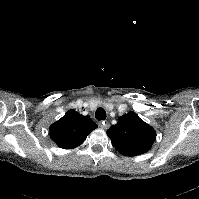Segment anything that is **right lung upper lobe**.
Wrapping results in <instances>:
<instances>
[{
    "label": "right lung upper lobe",
    "instance_id": "obj_1",
    "mask_svg": "<svg viewBox=\"0 0 199 199\" xmlns=\"http://www.w3.org/2000/svg\"><path fill=\"white\" fill-rule=\"evenodd\" d=\"M97 124L89 116H83L74 110L50 126V137L60 148L71 149L79 146Z\"/></svg>",
    "mask_w": 199,
    "mask_h": 199
}]
</instances>
